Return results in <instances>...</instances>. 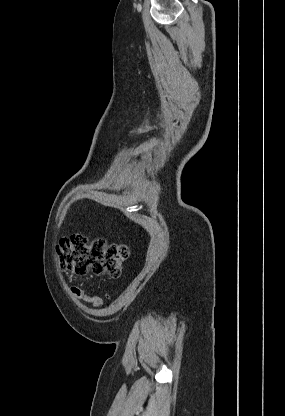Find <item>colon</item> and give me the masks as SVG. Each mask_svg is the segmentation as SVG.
<instances>
[{"label": "colon", "mask_w": 285, "mask_h": 416, "mask_svg": "<svg viewBox=\"0 0 285 416\" xmlns=\"http://www.w3.org/2000/svg\"><path fill=\"white\" fill-rule=\"evenodd\" d=\"M58 256L63 269L77 276L90 272L118 278L128 257V247L121 243L108 244L103 238L90 239L74 234L60 241Z\"/></svg>", "instance_id": "obj_1"}]
</instances>
